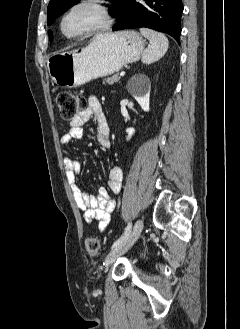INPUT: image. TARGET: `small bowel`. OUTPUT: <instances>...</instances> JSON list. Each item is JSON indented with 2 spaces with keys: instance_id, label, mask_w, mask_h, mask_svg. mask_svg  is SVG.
I'll return each mask as SVG.
<instances>
[{
  "instance_id": "c3829d8e",
  "label": "small bowel",
  "mask_w": 240,
  "mask_h": 329,
  "mask_svg": "<svg viewBox=\"0 0 240 329\" xmlns=\"http://www.w3.org/2000/svg\"><path fill=\"white\" fill-rule=\"evenodd\" d=\"M92 118L96 122V141L100 147L109 150L111 141L109 136V125L103 114L102 105L95 96L88 98V104L70 122V128L60 141L62 145H68L73 140L81 139L84 135V125ZM66 178L71 186L75 202L83 211V216L88 224L94 220L98 221V229L103 231L110 222V214L114 211L115 203L110 197V192L117 194L121 189L122 171L117 165L108 169L106 187L98 189L96 194H90L82 190L76 180L81 171L80 162L73 157H66L64 160Z\"/></svg>"
}]
</instances>
